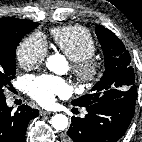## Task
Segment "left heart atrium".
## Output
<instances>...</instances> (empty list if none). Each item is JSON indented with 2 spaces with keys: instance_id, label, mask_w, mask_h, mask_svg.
I'll return each mask as SVG.
<instances>
[{
  "instance_id": "obj_1",
  "label": "left heart atrium",
  "mask_w": 142,
  "mask_h": 142,
  "mask_svg": "<svg viewBox=\"0 0 142 142\" xmlns=\"http://www.w3.org/2000/svg\"><path fill=\"white\" fill-rule=\"evenodd\" d=\"M26 90L35 101L47 106L56 96H65L69 92V86L62 78L42 75L29 78L26 82Z\"/></svg>"
}]
</instances>
